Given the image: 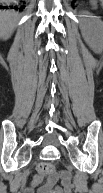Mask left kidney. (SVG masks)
Here are the masks:
<instances>
[{
	"instance_id": "1",
	"label": "left kidney",
	"mask_w": 103,
	"mask_h": 193,
	"mask_svg": "<svg viewBox=\"0 0 103 193\" xmlns=\"http://www.w3.org/2000/svg\"><path fill=\"white\" fill-rule=\"evenodd\" d=\"M81 30L90 46L99 45L102 38V23L98 19H85Z\"/></svg>"
}]
</instances>
